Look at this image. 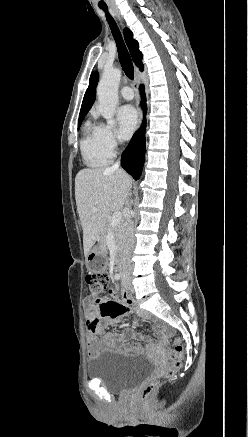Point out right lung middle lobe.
<instances>
[{"label": "right lung middle lobe", "instance_id": "1", "mask_svg": "<svg viewBox=\"0 0 248 437\" xmlns=\"http://www.w3.org/2000/svg\"><path fill=\"white\" fill-rule=\"evenodd\" d=\"M83 119H84V117H82V118H79V122H78V128L80 127V125H81V123H82Z\"/></svg>", "mask_w": 248, "mask_h": 437}]
</instances>
